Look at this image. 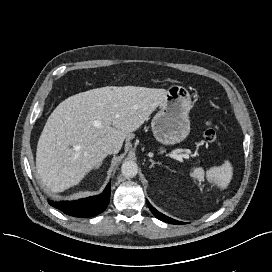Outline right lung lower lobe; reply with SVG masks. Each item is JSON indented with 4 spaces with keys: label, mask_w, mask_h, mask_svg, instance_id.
<instances>
[{
    "label": "right lung lower lobe",
    "mask_w": 272,
    "mask_h": 272,
    "mask_svg": "<svg viewBox=\"0 0 272 272\" xmlns=\"http://www.w3.org/2000/svg\"><path fill=\"white\" fill-rule=\"evenodd\" d=\"M110 185L111 183H108L105 190L97 196H92L77 201H49V204L70 216L92 217L102 213L108 206L111 191Z\"/></svg>",
    "instance_id": "right-lung-lower-lobe-1"
}]
</instances>
